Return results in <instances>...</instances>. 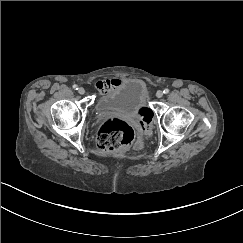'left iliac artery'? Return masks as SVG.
Returning a JSON list of instances; mask_svg holds the SVG:
<instances>
[{
  "instance_id": "left-iliac-artery-1",
  "label": "left iliac artery",
  "mask_w": 243,
  "mask_h": 243,
  "mask_svg": "<svg viewBox=\"0 0 243 243\" xmlns=\"http://www.w3.org/2000/svg\"><path fill=\"white\" fill-rule=\"evenodd\" d=\"M163 93H164V94L169 93V89H167V88H166V89H164Z\"/></svg>"
}]
</instances>
